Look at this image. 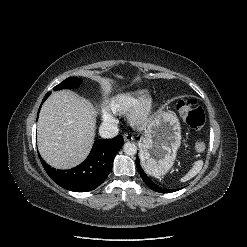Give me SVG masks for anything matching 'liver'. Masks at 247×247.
I'll use <instances>...</instances> for the list:
<instances>
[{
  "mask_svg": "<svg viewBox=\"0 0 247 247\" xmlns=\"http://www.w3.org/2000/svg\"><path fill=\"white\" fill-rule=\"evenodd\" d=\"M110 85L104 86L105 92ZM94 108L70 91L54 92L43 104L38 123V149L56 169L80 164L90 152L95 137Z\"/></svg>",
  "mask_w": 247,
  "mask_h": 247,
  "instance_id": "1",
  "label": "liver"
}]
</instances>
